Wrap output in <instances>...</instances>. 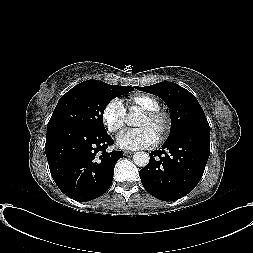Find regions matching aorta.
<instances>
[{
    "mask_svg": "<svg viewBox=\"0 0 253 253\" xmlns=\"http://www.w3.org/2000/svg\"><path fill=\"white\" fill-rule=\"evenodd\" d=\"M150 157L146 152H136L133 155L134 163L139 167H145L148 165Z\"/></svg>",
    "mask_w": 253,
    "mask_h": 253,
    "instance_id": "1",
    "label": "aorta"
}]
</instances>
